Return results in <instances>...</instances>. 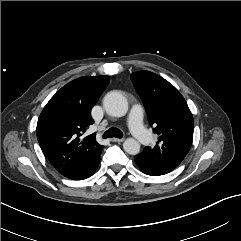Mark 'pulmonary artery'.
Wrapping results in <instances>:
<instances>
[{
    "mask_svg": "<svg viewBox=\"0 0 241 241\" xmlns=\"http://www.w3.org/2000/svg\"><path fill=\"white\" fill-rule=\"evenodd\" d=\"M128 124L135 139L143 145L151 142V134L144 128L142 124V109L135 105L130 111Z\"/></svg>",
    "mask_w": 241,
    "mask_h": 241,
    "instance_id": "obj_1",
    "label": "pulmonary artery"
}]
</instances>
